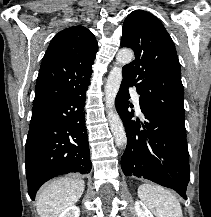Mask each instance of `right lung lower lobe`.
I'll use <instances>...</instances> for the list:
<instances>
[{"mask_svg":"<svg viewBox=\"0 0 211 217\" xmlns=\"http://www.w3.org/2000/svg\"><path fill=\"white\" fill-rule=\"evenodd\" d=\"M87 87L32 112L26 141V177L32 200L42 184L58 175L91 171L84 105Z\"/></svg>","mask_w":211,"mask_h":217,"instance_id":"1","label":"right lung lower lobe"}]
</instances>
